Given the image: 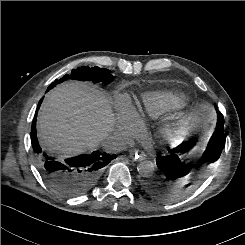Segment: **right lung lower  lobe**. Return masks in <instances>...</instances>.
I'll use <instances>...</instances> for the list:
<instances>
[{
	"instance_id": "98d812e1",
	"label": "right lung lower lobe",
	"mask_w": 245,
	"mask_h": 245,
	"mask_svg": "<svg viewBox=\"0 0 245 245\" xmlns=\"http://www.w3.org/2000/svg\"><path fill=\"white\" fill-rule=\"evenodd\" d=\"M43 98L39 101L35 116ZM31 144L38 169L47 184L58 194L77 197L88 192L98 181L100 173L116 155L94 151L65 160H56L42 152L36 135V118L31 126Z\"/></svg>"
}]
</instances>
